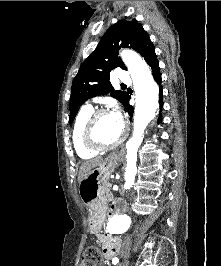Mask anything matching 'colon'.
I'll return each mask as SVG.
<instances>
[{
	"label": "colon",
	"instance_id": "5ec220e1",
	"mask_svg": "<svg viewBox=\"0 0 221 266\" xmlns=\"http://www.w3.org/2000/svg\"><path fill=\"white\" fill-rule=\"evenodd\" d=\"M101 254L96 246L87 247L82 255L81 266H100Z\"/></svg>",
	"mask_w": 221,
	"mask_h": 266
}]
</instances>
